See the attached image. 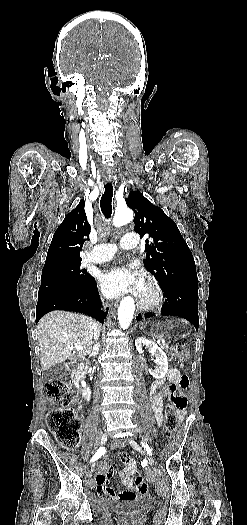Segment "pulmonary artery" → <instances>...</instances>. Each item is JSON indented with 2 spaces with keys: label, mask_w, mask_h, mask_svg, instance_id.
<instances>
[{
  "label": "pulmonary artery",
  "mask_w": 247,
  "mask_h": 525,
  "mask_svg": "<svg viewBox=\"0 0 247 525\" xmlns=\"http://www.w3.org/2000/svg\"><path fill=\"white\" fill-rule=\"evenodd\" d=\"M141 244L140 236H134V232L125 233L119 241V246L124 249H133L139 247ZM115 244L107 243L101 244L97 248L91 247L87 251L86 261H94L97 264H101L106 260L110 262L112 257L116 256L117 251L113 247Z\"/></svg>",
  "instance_id": "obj_1"
}]
</instances>
